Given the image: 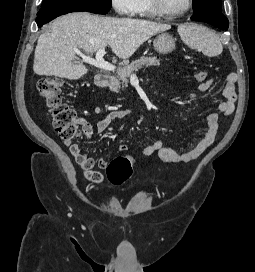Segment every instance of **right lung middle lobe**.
Segmentation results:
<instances>
[{"label":"right lung middle lobe","mask_w":255,"mask_h":272,"mask_svg":"<svg viewBox=\"0 0 255 272\" xmlns=\"http://www.w3.org/2000/svg\"><path fill=\"white\" fill-rule=\"evenodd\" d=\"M42 8H74L95 14H106L111 9V0H43Z\"/></svg>","instance_id":"right-lung-middle-lobe-1"}]
</instances>
